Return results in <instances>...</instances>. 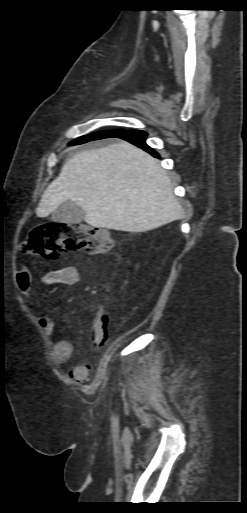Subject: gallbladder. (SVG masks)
<instances>
[{
	"label": "gallbladder",
	"mask_w": 247,
	"mask_h": 513,
	"mask_svg": "<svg viewBox=\"0 0 247 513\" xmlns=\"http://www.w3.org/2000/svg\"><path fill=\"white\" fill-rule=\"evenodd\" d=\"M84 217L85 212L80 206L71 201H66L52 213L51 219L68 224H77L80 223Z\"/></svg>",
	"instance_id": "gallbladder-1"
}]
</instances>
